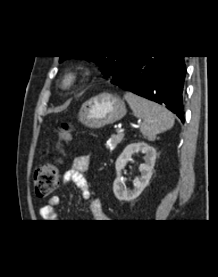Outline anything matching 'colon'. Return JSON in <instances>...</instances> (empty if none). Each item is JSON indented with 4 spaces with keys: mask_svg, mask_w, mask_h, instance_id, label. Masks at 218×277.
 <instances>
[{
    "mask_svg": "<svg viewBox=\"0 0 218 277\" xmlns=\"http://www.w3.org/2000/svg\"><path fill=\"white\" fill-rule=\"evenodd\" d=\"M72 129L69 123L64 122L60 125L57 138L54 142V150L60 153L65 144L71 139ZM59 160L55 159L51 163L41 165L34 174V189L38 198L49 196L57 187L59 182Z\"/></svg>",
    "mask_w": 218,
    "mask_h": 277,
    "instance_id": "colon-1",
    "label": "colon"
}]
</instances>
